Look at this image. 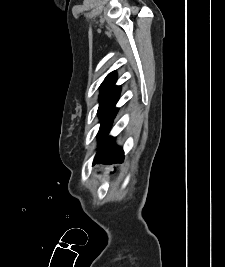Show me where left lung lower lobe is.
Here are the masks:
<instances>
[{
  "instance_id": "obj_1",
  "label": "left lung lower lobe",
  "mask_w": 225,
  "mask_h": 267,
  "mask_svg": "<svg viewBox=\"0 0 225 267\" xmlns=\"http://www.w3.org/2000/svg\"><path fill=\"white\" fill-rule=\"evenodd\" d=\"M114 137H108L104 146L94 160L95 163L112 164L115 162H122L124 159V152L114 143Z\"/></svg>"
}]
</instances>
